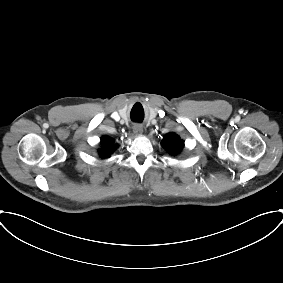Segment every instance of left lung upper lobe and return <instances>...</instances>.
<instances>
[{
  "instance_id": "5c2ea615",
  "label": "left lung upper lobe",
  "mask_w": 283,
  "mask_h": 283,
  "mask_svg": "<svg viewBox=\"0 0 283 283\" xmlns=\"http://www.w3.org/2000/svg\"><path fill=\"white\" fill-rule=\"evenodd\" d=\"M162 145L170 154H176L183 148L184 142L178 135L170 133L165 136Z\"/></svg>"
}]
</instances>
